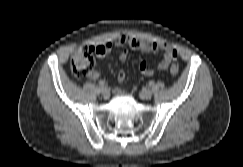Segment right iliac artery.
<instances>
[{
  "mask_svg": "<svg viewBox=\"0 0 243 167\" xmlns=\"http://www.w3.org/2000/svg\"><path fill=\"white\" fill-rule=\"evenodd\" d=\"M106 85V82L104 80L99 81V86L104 87Z\"/></svg>",
  "mask_w": 243,
  "mask_h": 167,
  "instance_id": "1",
  "label": "right iliac artery"
}]
</instances>
